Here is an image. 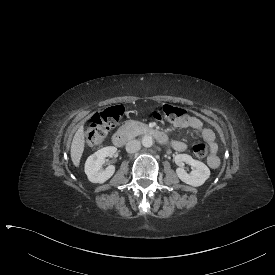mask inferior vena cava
I'll return each mask as SVG.
<instances>
[{
  "label": "inferior vena cava",
  "mask_w": 275,
  "mask_h": 275,
  "mask_svg": "<svg viewBox=\"0 0 275 275\" xmlns=\"http://www.w3.org/2000/svg\"><path fill=\"white\" fill-rule=\"evenodd\" d=\"M140 142L137 140H131L126 144V152L135 153L140 149Z\"/></svg>",
  "instance_id": "1"
}]
</instances>
